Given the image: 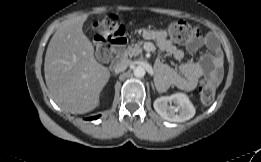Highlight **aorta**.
I'll use <instances>...</instances> for the list:
<instances>
[{"instance_id": "762f6f07", "label": "aorta", "mask_w": 261, "mask_h": 162, "mask_svg": "<svg viewBox=\"0 0 261 162\" xmlns=\"http://www.w3.org/2000/svg\"><path fill=\"white\" fill-rule=\"evenodd\" d=\"M133 74L135 77L142 78L145 75V69L142 66H137L133 69Z\"/></svg>"}]
</instances>
